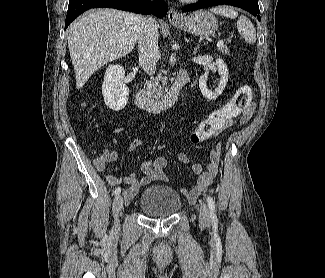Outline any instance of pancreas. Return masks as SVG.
I'll use <instances>...</instances> for the list:
<instances>
[{"label":"pancreas","instance_id":"cf45deb5","mask_svg":"<svg viewBox=\"0 0 325 278\" xmlns=\"http://www.w3.org/2000/svg\"><path fill=\"white\" fill-rule=\"evenodd\" d=\"M218 50L223 54H229L227 45L223 44L222 46H219ZM165 86L166 78L158 75L147 82L145 93L150 97H160Z\"/></svg>","mask_w":325,"mask_h":278}]
</instances>
